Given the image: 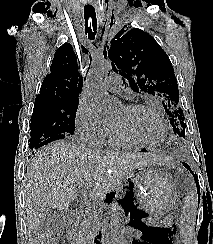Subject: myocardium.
I'll return each instance as SVG.
<instances>
[{
    "mask_svg": "<svg viewBox=\"0 0 213 244\" xmlns=\"http://www.w3.org/2000/svg\"><path fill=\"white\" fill-rule=\"evenodd\" d=\"M126 109L128 110H146L149 111L150 113H152L154 115V117L157 119V121L159 122V124L161 125L162 131H163V135L161 140L156 143V144H145V143H141V142H137L134 141L128 137H126L113 123H112V129H113V133L115 135V137L123 144L130 146V147H134V148H142V149H154L157 148L159 146H161L166 137H167V127L166 124L164 123L162 117L160 116V114L151 106L146 105V104H141V103H133V104H128L125 106Z\"/></svg>",
    "mask_w": 213,
    "mask_h": 244,
    "instance_id": "f54148a6",
    "label": "myocardium"
}]
</instances>
